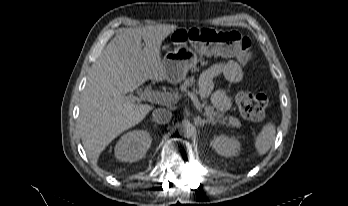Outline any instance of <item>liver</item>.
Returning <instances> with one entry per match:
<instances>
[{
  "label": "liver",
  "mask_w": 348,
  "mask_h": 206,
  "mask_svg": "<svg viewBox=\"0 0 348 206\" xmlns=\"http://www.w3.org/2000/svg\"><path fill=\"white\" fill-rule=\"evenodd\" d=\"M176 28L160 24L126 29L110 41L92 66L78 122L83 146L93 164L116 137L140 123L153 109L134 103L126 94L148 79L167 80L160 47Z\"/></svg>",
  "instance_id": "1"
}]
</instances>
